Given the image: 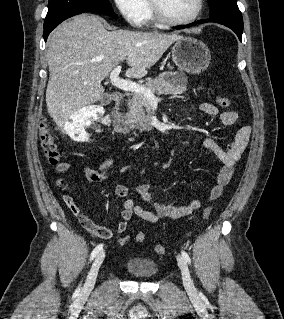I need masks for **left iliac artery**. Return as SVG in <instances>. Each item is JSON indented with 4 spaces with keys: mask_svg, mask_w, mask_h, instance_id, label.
I'll return each instance as SVG.
<instances>
[{
    "mask_svg": "<svg viewBox=\"0 0 284 319\" xmlns=\"http://www.w3.org/2000/svg\"><path fill=\"white\" fill-rule=\"evenodd\" d=\"M182 256L186 260V262H188L190 264L191 259H190L189 255L187 254V252L182 251Z\"/></svg>",
    "mask_w": 284,
    "mask_h": 319,
    "instance_id": "obj_1",
    "label": "left iliac artery"
}]
</instances>
